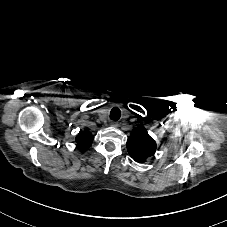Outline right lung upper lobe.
<instances>
[{
  "label": "right lung upper lobe",
  "instance_id": "cb5924a9",
  "mask_svg": "<svg viewBox=\"0 0 227 227\" xmlns=\"http://www.w3.org/2000/svg\"><path fill=\"white\" fill-rule=\"evenodd\" d=\"M93 135L88 131H80L76 136L77 148L81 151H86L92 144Z\"/></svg>",
  "mask_w": 227,
  "mask_h": 227
}]
</instances>
